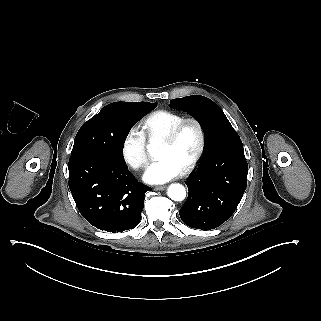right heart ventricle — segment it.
Listing matches in <instances>:
<instances>
[{
  "label": "right heart ventricle",
  "mask_w": 321,
  "mask_h": 321,
  "mask_svg": "<svg viewBox=\"0 0 321 321\" xmlns=\"http://www.w3.org/2000/svg\"><path fill=\"white\" fill-rule=\"evenodd\" d=\"M186 118L185 115L170 110H156L143 121L146 135L159 136L169 132L177 123Z\"/></svg>",
  "instance_id": "obj_1"
}]
</instances>
